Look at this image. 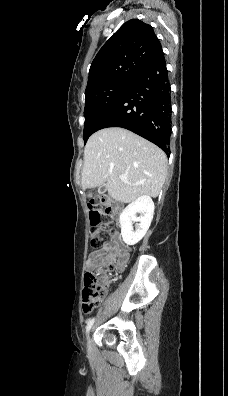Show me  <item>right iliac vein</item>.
Returning <instances> with one entry per match:
<instances>
[{
  "instance_id": "obj_1",
  "label": "right iliac vein",
  "mask_w": 228,
  "mask_h": 396,
  "mask_svg": "<svg viewBox=\"0 0 228 396\" xmlns=\"http://www.w3.org/2000/svg\"><path fill=\"white\" fill-rule=\"evenodd\" d=\"M87 344H88V346L90 345V335H88V337H87Z\"/></svg>"
}]
</instances>
